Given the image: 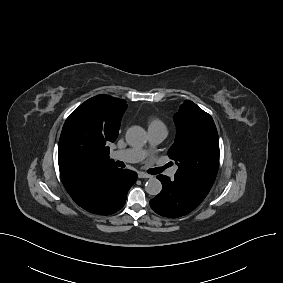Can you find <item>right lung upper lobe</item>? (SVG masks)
<instances>
[{
    "mask_svg": "<svg viewBox=\"0 0 283 283\" xmlns=\"http://www.w3.org/2000/svg\"><path fill=\"white\" fill-rule=\"evenodd\" d=\"M86 113L106 142H114L118 136L123 113L127 108L125 100L109 95H98L79 106ZM109 148V147H108ZM108 152L81 155L59 146V170L65 189L72 187L79 180L95 173L99 169L114 165Z\"/></svg>",
    "mask_w": 283,
    "mask_h": 283,
    "instance_id": "obj_1",
    "label": "right lung upper lobe"
}]
</instances>
